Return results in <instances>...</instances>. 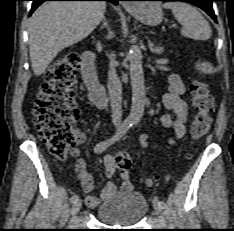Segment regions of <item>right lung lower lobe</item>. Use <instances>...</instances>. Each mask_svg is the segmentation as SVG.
I'll return each instance as SVG.
<instances>
[{"instance_id": "right-lung-lower-lobe-1", "label": "right lung lower lobe", "mask_w": 234, "mask_h": 231, "mask_svg": "<svg viewBox=\"0 0 234 231\" xmlns=\"http://www.w3.org/2000/svg\"><path fill=\"white\" fill-rule=\"evenodd\" d=\"M32 1H33V4H32V8L30 10V15L44 1H95V0H32ZM96 1H109V2L117 5V3H118L119 0H96Z\"/></svg>"}]
</instances>
